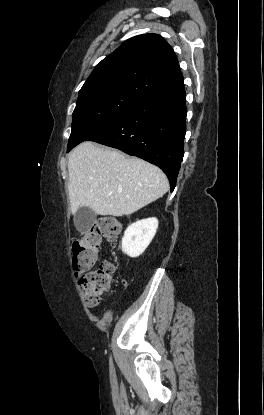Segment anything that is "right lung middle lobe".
<instances>
[{"mask_svg": "<svg viewBox=\"0 0 264 415\" xmlns=\"http://www.w3.org/2000/svg\"><path fill=\"white\" fill-rule=\"evenodd\" d=\"M141 99L136 94L121 91L79 97L72 115L67 151L117 119Z\"/></svg>", "mask_w": 264, "mask_h": 415, "instance_id": "1", "label": "right lung middle lobe"}]
</instances>
